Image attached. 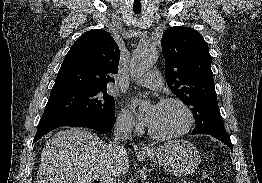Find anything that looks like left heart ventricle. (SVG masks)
Here are the masks:
<instances>
[{"instance_id":"obj_1","label":"left heart ventricle","mask_w":262,"mask_h":183,"mask_svg":"<svg viewBox=\"0 0 262 183\" xmlns=\"http://www.w3.org/2000/svg\"><path fill=\"white\" fill-rule=\"evenodd\" d=\"M188 122L185 110L174 103L157 105L149 127L157 134L170 135L182 130Z\"/></svg>"}]
</instances>
